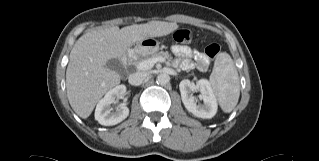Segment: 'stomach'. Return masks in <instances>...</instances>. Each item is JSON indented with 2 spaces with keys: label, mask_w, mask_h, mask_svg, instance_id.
I'll return each instance as SVG.
<instances>
[{
  "label": "stomach",
  "mask_w": 319,
  "mask_h": 161,
  "mask_svg": "<svg viewBox=\"0 0 319 161\" xmlns=\"http://www.w3.org/2000/svg\"><path fill=\"white\" fill-rule=\"evenodd\" d=\"M159 43L153 38H146L136 44V51L141 56H149L157 52Z\"/></svg>",
  "instance_id": "0dacf381"
}]
</instances>
